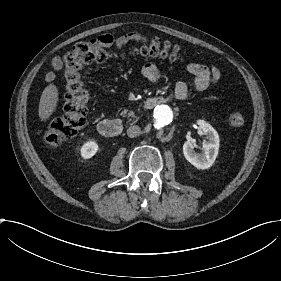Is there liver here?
Returning <instances> with one entry per match:
<instances>
[{
	"instance_id": "6515ba94",
	"label": "liver",
	"mask_w": 281,
	"mask_h": 281,
	"mask_svg": "<svg viewBox=\"0 0 281 281\" xmlns=\"http://www.w3.org/2000/svg\"><path fill=\"white\" fill-rule=\"evenodd\" d=\"M58 102V89L54 84H49L42 92L39 103V117L46 121L54 112Z\"/></svg>"
}]
</instances>
